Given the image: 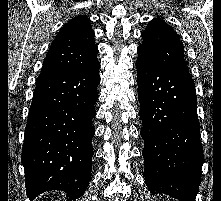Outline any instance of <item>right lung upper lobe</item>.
<instances>
[{
	"label": "right lung upper lobe",
	"instance_id": "right-lung-upper-lobe-1",
	"mask_svg": "<svg viewBox=\"0 0 221 201\" xmlns=\"http://www.w3.org/2000/svg\"><path fill=\"white\" fill-rule=\"evenodd\" d=\"M94 37L88 17H74L55 37L41 71L77 72L98 65Z\"/></svg>",
	"mask_w": 221,
	"mask_h": 201
}]
</instances>
